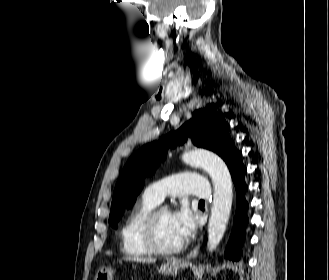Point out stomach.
I'll return each instance as SVG.
<instances>
[{"mask_svg":"<svg viewBox=\"0 0 329 280\" xmlns=\"http://www.w3.org/2000/svg\"><path fill=\"white\" fill-rule=\"evenodd\" d=\"M180 269L178 263L169 262L161 265L158 270L163 275H176ZM114 270L110 266H102L98 269L94 280H113Z\"/></svg>","mask_w":329,"mask_h":280,"instance_id":"0dacf381","label":"stomach"}]
</instances>
